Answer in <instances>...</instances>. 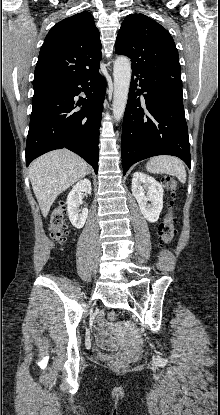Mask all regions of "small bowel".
Instances as JSON below:
<instances>
[{"mask_svg": "<svg viewBox=\"0 0 220 415\" xmlns=\"http://www.w3.org/2000/svg\"><path fill=\"white\" fill-rule=\"evenodd\" d=\"M94 334L98 345L105 349L110 348L112 341L108 336L106 326L102 322L95 326Z\"/></svg>", "mask_w": 220, "mask_h": 415, "instance_id": "c3829d8e", "label": "small bowel"}]
</instances>
